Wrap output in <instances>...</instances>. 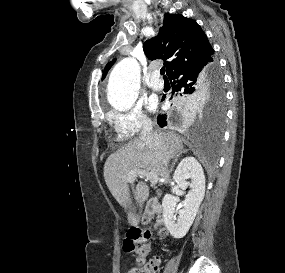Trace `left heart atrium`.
Masks as SVG:
<instances>
[{"mask_svg": "<svg viewBox=\"0 0 285 273\" xmlns=\"http://www.w3.org/2000/svg\"><path fill=\"white\" fill-rule=\"evenodd\" d=\"M155 107H156V104L154 102H150L149 108L150 109H155Z\"/></svg>", "mask_w": 285, "mask_h": 273, "instance_id": "obj_1", "label": "left heart atrium"}]
</instances>
